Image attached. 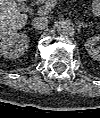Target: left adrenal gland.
Returning <instances> with one entry per match:
<instances>
[{
	"instance_id": "obj_1",
	"label": "left adrenal gland",
	"mask_w": 100,
	"mask_h": 118,
	"mask_svg": "<svg viewBox=\"0 0 100 118\" xmlns=\"http://www.w3.org/2000/svg\"><path fill=\"white\" fill-rule=\"evenodd\" d=\"M77 24H78V26H77V27H78V28H77L78 32L81 31V28H85V27H88V26H89L87 23H85V22H80V21H78Z\"/></svg>"
}]
</instances>
